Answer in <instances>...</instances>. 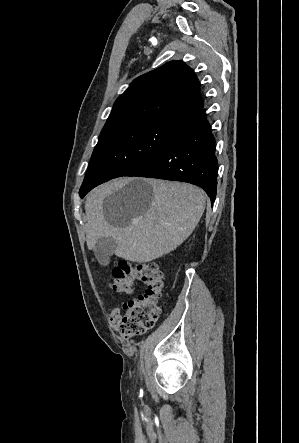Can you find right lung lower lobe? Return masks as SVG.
I'll return each mask as SVG.
<instances>
[{
	"label": "right lung lower lobe",
	"mask_w": 299,
	"mask_h": 443,
	"mask_svg": "<svg viewBox=\"0 0 299 443\" xmlns=\"http://www.w3.org/2000/svg\"><path fill=\"white\" fill-rule=\"evenodd\" d=\"M214 137L203 106L186 116L174 137L125 176L176 180L198 185L211 201L217 191Z\"/></svg>",
	"instance_id": "98d812e1"
}]
</instances>
